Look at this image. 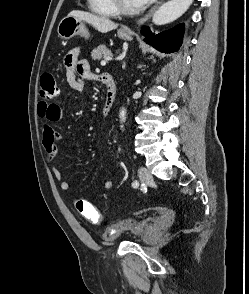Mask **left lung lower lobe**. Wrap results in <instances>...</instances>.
I'll list each match as a JSON object with an SVG mask.
<instances>
[{
  "mask_svg": "<svg viewBox=\"0 0 249 294\" xmlns=\"http://www.w3.org/2000/svg\"><path fill=\"white\" fill-rule=\"evenodd\" d=\"M184 25L179 24L173 29L165 31L163 33L154 35L149 28L143 27L141 33L146 36L144 40L153 45L156 49L162 52L170 53L179 49L182 42Z\"/></svg>",
  "mask_w": 249,
  "mask_h": 294,
  "instance_id": "0a47b994",
  "label": "left lung lower lobe"
}]
</instances>
